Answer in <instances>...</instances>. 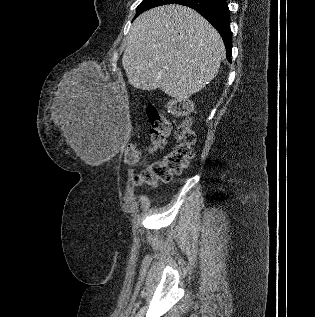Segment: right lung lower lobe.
Masks as SVG:
<instances>
[{
    "instance_id": "1",
    "label": "right lung lower lobe",
    "mask_w": 315,
    "mask_h": 317,
    "mask_svg": "<svg viewBox=\"0 0 315 317\" xmlns=\"http://www.w3.org/2000/svg\"><path fill=\"white\" fill-rule=\"evenodd\" d=\"M176 4L193 8L218 30L226 47L227 60L231 62L232 33L225 0H178Z\"/></svg>"
}]
</instances>
